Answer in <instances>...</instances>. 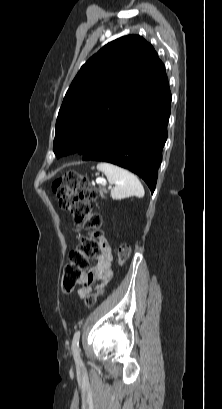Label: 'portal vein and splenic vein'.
<instances>
[{
	"label": "portal vein and splenic vein",
	"mask_w": 222,
	"mask_h": 409,
	"mask_svg": "<svg viewBox=\"0 0 222 409\" xmlns=\"http://www.w3.org/2000/svg\"><path fill=\"white\" fill-rule=\"evenodd\" d=\"M96 183H97V184H103V185L106 184L105 180H104V179H101V178H98V179L96 180Z\"/></svg>",
	"instance_id": "1"
}]
</instances>
